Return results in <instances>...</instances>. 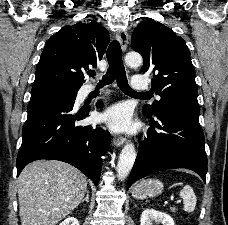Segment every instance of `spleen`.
<instances>
[{
	"label": "spleen",
	"mask_w": 228,
	"mask_h": 225,
	"mask_svg": "<svg viewBox=\"0 0 228 225\" xmlns=\"http://www.w3.org/2000/svg\"><path fill=\"white\" fill-rule=\"evenodd\" d=\"M180 197L183 199V211L186 213H193L196 207V195L190 187V185H185L182 191H180Z\"/></svg>",
	"instance_id": "3e777b00"
}]
</instances>
